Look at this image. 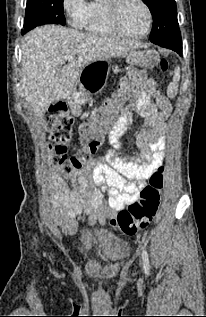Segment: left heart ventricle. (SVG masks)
I'll return each mask as SVG.
<instances>
[{"label":"left heart ventricle","mask_w":206,"mask_h":317,"mask_svg":"<svg viewBox=\"0 0 206 317\" xmlns=\"http://www.w3.org/2000/svg\"><path fill=\"white\" fill-rule=\"evenodd\" d=\"M119 24L122 30L129 35H139L147 25V16L144 8L136 0H127L119 13Z\"/></svg>","instance_id":"1"}]
</instances>
